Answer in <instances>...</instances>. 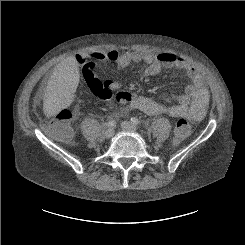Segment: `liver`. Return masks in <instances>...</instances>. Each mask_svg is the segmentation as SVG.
I'll list each match as a JSON object with an SVG mask.
<instances>
[{"label":"liver","mask_w":245,"mask_h":245,"mask_svg":"<svg viewBox=\"0 0 245 245\" xmlns=\"http://www.w3.org/2000/svg\"><path fill=\"white\" fill-rule=\"evenodd\" d=\"M78 82L79 69L75 57H68L56 65L43 99V112L46 117L55 116L71 105Z\"/></svg>","instance_id":"1"}]
</instances>
